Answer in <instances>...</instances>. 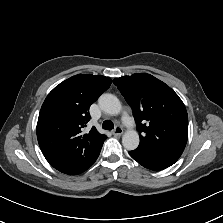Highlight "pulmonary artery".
I'll return each mask as SVG.
<instances>
[{
	"label": "pulmonary artery",
	"instance_id": "obj_1",
	"mask_svg": "<svg viewBox=\"0 0 223 223\" xmlns=\"http://www.w3.org/2000/svg\"><path fill=\"white\" fill-rule=\"evenodd\" d=\"M123 123H124L125 126L130 127V126L133 125L134 120H133L132 117L127 116V117L124 118Z\"/></svg>",
	"mask_w": 223,
	"mask_h": 223
}]
</instances>
